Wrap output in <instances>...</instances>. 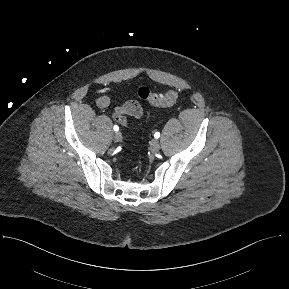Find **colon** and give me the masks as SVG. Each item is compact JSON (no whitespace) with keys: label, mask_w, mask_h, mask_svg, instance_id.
Segmentation results:
<instances>
[{"label":"colon","mask_w":289,"mask_h":289,"mask_svg":"<svg viewBox=\"0 0 289 289\" xmlns=\"http://www.w3.org/2000/svg\"><path fill=\"white\" fill-rule=\"evenodd\" d=\"M137 95L139 98L148 101L151 105L156 107H170L176 101L178 94L177 92L170 90L164 94H158L151 92L146 87H141L137 91Z\"/></svg>","instance_id":"colon-1"}]
</instances>
